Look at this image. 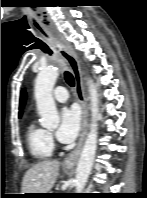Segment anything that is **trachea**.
Segmentation results:
<instances>
[{"instance_id": "obj_1", "label": "trachea", "mask_w": 147, "mask_h": 198, "mask_svg": "<svg viewBox=\"0 0 147 198\" xmlns=\"http://www.w3.org/2000/svg\"><path fill=\"white\" fill-rule=\"evenodd\" d=\"M45 49L49 54H52V51L49 47L45 46ZM64 76H65V80L68 83V85H70L71 87H74L75 81H74L72 74L68 71H65Z\"/></svg>"}]
</instances>
